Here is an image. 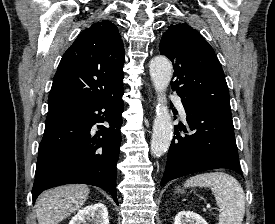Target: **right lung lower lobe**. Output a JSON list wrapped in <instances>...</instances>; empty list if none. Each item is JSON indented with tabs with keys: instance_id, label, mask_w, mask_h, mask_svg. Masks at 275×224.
I'll return each instance as SVG.
<instances>
[{
	"instance_id": "1",
	"label": "right lung lower lobe",
	"mask_w": 275,
	"mask_h": 224,
	"mask_svg": "<svg viewBox=\"0 0 275 224\" xmlns=\"http://www.w3.org/2000/svg\"><path fill=\"white\" fill-rule=\"evenodd\" d=\"M123 93L122 88L84 106L49 111L38 150L33 201L46 189L81 183L106 189L118 205L116 163L121 144ZM104 116L110 126L99 125L100 131L95 132L92 126L103 122Z\"/></svg>"
}]
</instances>
